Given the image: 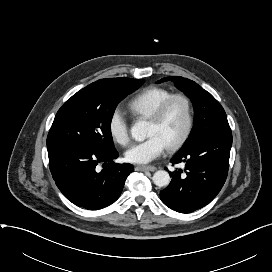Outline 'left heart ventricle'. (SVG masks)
<instances>
[{"mask_svg": "<svg viewBox=\"0 0 272 272\" xmlns=\"http://www.w3.org/2000/svg\"><path fill=\"white\" fill-rule=\"evenodd\" d=\"M185 123V106L183 102L176 100L170 105L160 121H148L147 135H158L169 146L181 135Z\"/></svg>", "mask_w": 272, "mask_h": 272, "instance_id": "obj_1", "label": "left heart ventricle"}]
</instances>
